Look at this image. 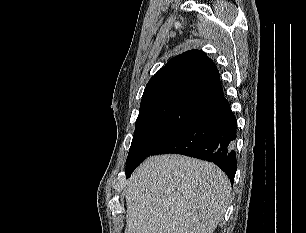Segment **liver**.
Segmentation results:
<instances>
[{
    "label": "liver",
    "mask_w": 306,
    "mask_h": 233,
    "mask_svg": "<svg viewBox=\"0 0 306 233\" xmlns=\"http://www.w3.org/2000/svg\"><path fill=\"white\" fill-rule=\"evenodd\" d=\"M230 195L228 177L212 163L151 156L126 188V233H213Z\"/></svg>",
    "instance_id": "obj_1"
}]
</instances>
